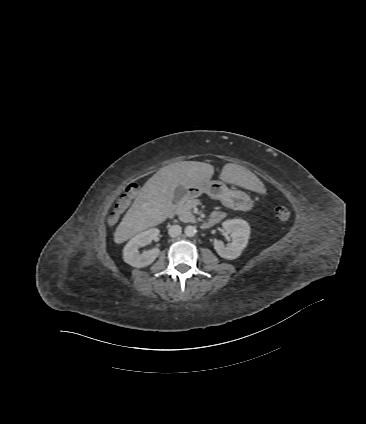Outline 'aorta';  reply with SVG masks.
I'll return each mask as SVG.
<instances>
[{
    "mask_svg": "<svg viewBox=\"0 0 366 424\" xmlns=\"http://www.w3.org/2000/svg\"><path fill=\"white\" fill-rule=\"evenodd\" d=\"M184 233H185V235H186V236H188V237H193V236H195V235H196V233H197V229H196V227H195V226H191V225H189V226H186V227H185V229H184Z\"/></svg>",
    "mask_w": 366,
    "mask_h": 424,
    "instance_id": "1",
    "label": "aorta"
}]
</instances>
